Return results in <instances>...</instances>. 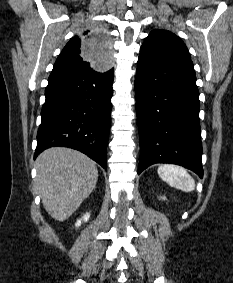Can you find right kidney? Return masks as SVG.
Returning a JSON list of instances; mask_svg holds the SVG:
<instances>
[{
    "label": "right kidney",
    "mask_w": 233,
    "mask_h": 283,
    "mask_svg": "<svg viewBox=\"0 0 233 283\" xmlns=\"http://www.w3.org/2000/svg\"><path fill=\"white\" fill-rule=\"evenodd\" d=\"M89 217H90V215H89V213H87V214L84 215L83 220L87 221L89 219ZM80 224H81V220H78L76 222V226L78 227V226H80Z\"/></svg>",
    "instance_id": "1"
}]
</instances>
